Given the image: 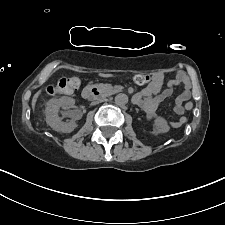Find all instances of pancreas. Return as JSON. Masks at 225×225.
Instances as JSON below:
<instances>
[{
  "label": "pancreas",
  "instance_id": "obj_1",
  "mask_svg": "<svg viewBox=\"0 0 225 225\" xmlns=\"http://www.w3.org/2000/svg\"><path fill=\"white\" fill-rule=\"evenodd\" d=\"M98 87L105 95H110V94L118 91L117 86L113 87L110 84H99Z\"/></svg>",
  "mask_w": 225,
  "mask_h": 225
}]
</instances>
